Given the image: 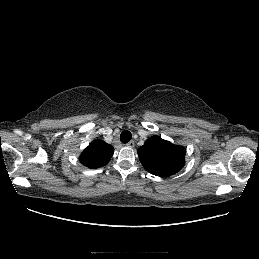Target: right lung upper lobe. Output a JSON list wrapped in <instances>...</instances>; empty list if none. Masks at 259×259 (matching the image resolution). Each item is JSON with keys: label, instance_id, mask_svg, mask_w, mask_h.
I'll return each instance as SVG.
<instances>
[{"label": "right lung upper lobe", "instance_id": "obj_1", "mask_svg": "<svg viewBox=\"0 0 259 259\" xmlns=\"http://www.w3.org/2000/svg\"><path fill=\"white\" fill-rule=\"evenodd\" d=\"M114 149L112 145L102 140H94L81 153L80 162L89 168H99L105 166L111 159Z\"/></svg>", "mask_w": 259, "mask_h": 259}]
</instances>
